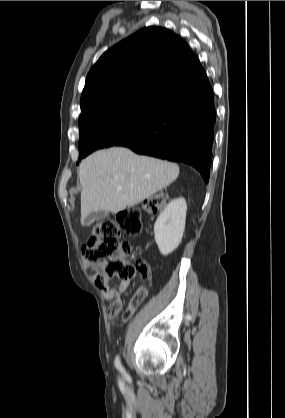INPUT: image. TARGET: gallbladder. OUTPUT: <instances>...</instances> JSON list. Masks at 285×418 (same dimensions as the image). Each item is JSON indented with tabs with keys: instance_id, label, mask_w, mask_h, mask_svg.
<instances>
[{
	"instance_id": "1",
	"label": "gallbladder",
	"mask_w": 285,
	"mask_h": 418,
	"mask_svg": "<svg viewBox=\"0 0 285 418\" xmlns=\"http://www.w3.org/2000/svg\"><path fill=\"white\" fill-rule=\"evenodd\" d=\"M106 217H108V212L106 211H97V212H92L89 215H87L82 221V225L84 226H89L90 224H92L94 221H99V220H103Z\"/></svg>"
}]
</instances>
